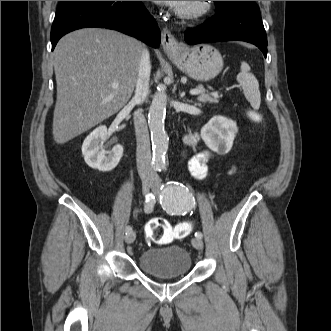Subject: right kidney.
Returning <instances> with one entry per match:
<instances>
[{
    "label": "right kidney",
    "instance_id": "right-kidney-1",
    "mask_svg": "<svg viewBox=\"0 0 331 331\" xmlns=\"http://www.w3.org/2000/svg\"><path fill=\"white\" fill-rule=\"evenodd\" d=\"M107 136V127L102 125L93 130L82 144V154L86 164L102 172L114 169L123 155L121 145L114 146L110 151L103 148V141Z\"/></svg>",
    "mask_w": 331,
    "mask_h": 331
}]
</instances>
